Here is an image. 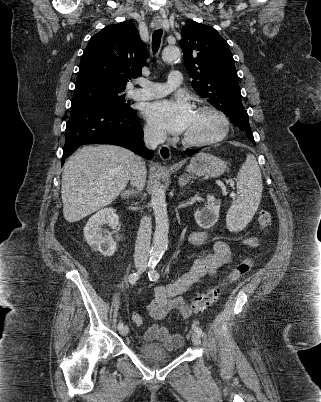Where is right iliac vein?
<instances>
[{
    "instance_id": "63e3f726",
    "label": "right iliac vein",
    "mask_w": 321,
    "mask_h": 402,
    "mask_svg": "<svg viewBox=\"0 0 321 402\" xmlns=\"http://www.w3.org/2000/svg\"><path fill=\"white\" fill-rule=\"evenodd\" d=\"M128 331H129L128 326H124V327L121 329L120 334H121L122 336H126V335L128 334Z\"/></svg>"
}]
</instances>
